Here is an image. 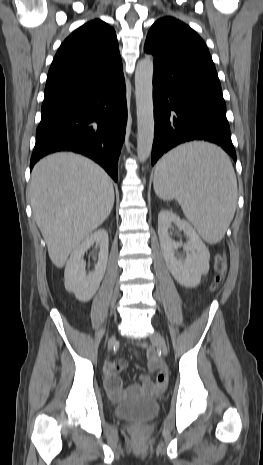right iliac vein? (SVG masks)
<instances>
[{
  "label": "right iliac vein",
  "instance_id": "right-iliac-vein-1",
  "mask_svg": "<svg viewBox=\"0 0 263 465\" xmlns=\"http://www.w3.org/2000/svg\"><path fill=\"white\" fill-rule=\"evenodd\" d=\"M116 342V337L113 335L108 341V349H111Z\"/></svg>",
  "mask_w": 263,
  "mask_h": 465
}]
</instances>
